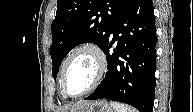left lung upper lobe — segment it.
I'll list each match as a JSON object with an SVG mask.
<instances>
[{
  "label": "left lung upper lobe",
  "instance_id": "left-lung-upper-lobe-1",
  "mask_svg": "<svg viewBox=\"0 0 193 112\" xmlns=\"http://www.w3.org/2000/svg\"><path fill=\"white\" fill-rule=\"evenodd\" d=\"M132 1L58 0L56 17L51 25L54 79L62 60L75 46L93 42L103 49L113 26Z\"/></svg>",
  "mask_w": 193,
  "mask_h": 112
}]
</instances>
